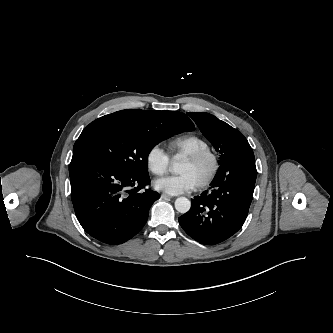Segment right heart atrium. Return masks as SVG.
I'll use <instances>...</instances> for the list:
<instances>
[{
	"label": "right heart atrium",
	"mask_w": 333,
	"mask_h": 333,
	"mask_svg": "<svg viewBox=\"0 0 333 333\" xmlns=\"http://www.w3.org/2000/svg\"><path fill=\"white\" fill-rule=\"evenodd\" d=\"M146 166L155 176H163L169 170L170 159L159 145H153L146 154Z\"/></svg>",
	"instance_id": "obj_1"
}]
</instances>
